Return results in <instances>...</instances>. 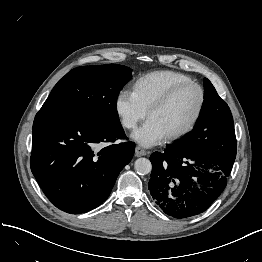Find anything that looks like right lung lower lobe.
Here are the masks:
<instances>
[{
  "mask_svg": "<svg viewBox=\"0 0 262 262\" xmlns=\"http://www.w3.org/2000/svg\"><path fill=\"white\" fill-rule=\"evenodd\" d=\"M32 134V173L52 204L71 214L90 211L108 198L135 149L124 142L99 150L98 144L125 137L121 125H100L61 110L40 109Z\"/></svg>",
  "mask_w": 262,
  "mask_h": 262,
  "instance_id": "98d812e1",
  "label": "right lung lower lobe"
}]
</instances>
